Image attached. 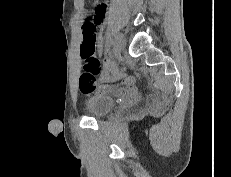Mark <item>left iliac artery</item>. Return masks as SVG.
Returning <instances> with one entry per match:
<instances>
[{
    "instance_id": "obj_1",
    "label": "left iliac artery",
    "mask_w": 231,
    "mask_h": 177,
    "mask_svg": "<svg viewBox=\"0 0 231 177\" xmlns=\"http://www.w3.org/2000/svg\"><path fill=\"white\" fill-rule=\"evenodd\" d=\"M111 31L108 30L106 33V46L104 49L105 52V57L109 58L112 55V46H113V41H111Z\"/></svg>"
}]
</instances>
